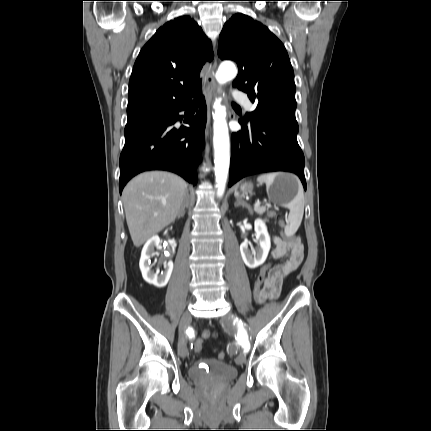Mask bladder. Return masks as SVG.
<instances>
[{"label":"bladder","mask_w":431,"mask_h":431,"mask_svg":"<svg viewBox=\"0 0 431 431\" xmlns=\"http://www.w3.org/2000/svg\"><path fill=\"white\" fill-rule=\"evenodd\" d=\"M190 378L200 382L225 383L238 375L237 369L216 359H202L195 362L188 370Z\"/></svg>","instance_id":"1"}]
</instances>
